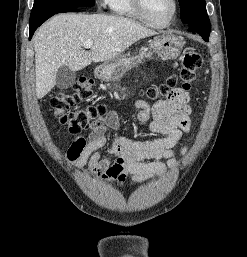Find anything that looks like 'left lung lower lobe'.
<instances>
[{"label":"left lung lower lobe","mask_w":247,"mask_h":257,"mask_svg":"<svg viewBox=\"0 0 247 257\" xmlns=\"http://www.w3.org/2000/svg\"><path fill=\"white\" fill-rule=\"evenodd\" d=\"M188 31L198 33L199 35L202 36V38L205 41L209 40L210 29L209 30L205 29L204 27H202L200 25H189L188 26Z\"/></svg>","instance_id":"1"}]
</instances>
